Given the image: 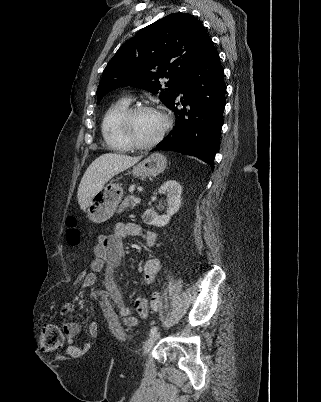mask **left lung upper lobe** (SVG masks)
I'll list each match as a JSON object with an SVG mask.
<instances>
[{
	"instance_id": "1",
	"label": "left lung upper lobe",
	"mask_w": 321,
	"mask_h": 402,
	"mask_svg": "<svg viewBox=\"0 0 321 402\" xmlns=\"http://www.w3.org/2000/svg\"><path fill=\"white\" fill-rule=\"evenodd\" d=\"M210 39L191 14L173 13L141 29L109 61L97 89V103L109 91L134 86L154 94L168 107L179 83ZM167 78L163 88L159 79Z\"/></svg>"
}]
</instances>
